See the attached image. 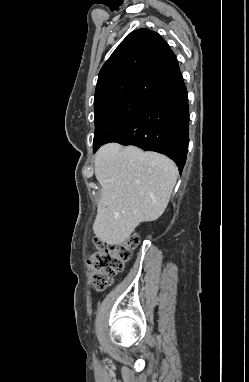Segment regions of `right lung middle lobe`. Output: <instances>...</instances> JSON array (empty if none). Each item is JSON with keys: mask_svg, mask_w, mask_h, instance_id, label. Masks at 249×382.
Masks as SVG:
<instances>
[{"mask_svg": "<svg viewBox=\"0 0 249 382\" xmlns=\"http://www.w3.org/2000/svg\"><path fill=\"white\" fill-rule=\"evenodd\" d=\"M150 100L126 97L95 109L94 150L125 128Z\"/></svg>", "mask_w": 249, "mask_h": 382, "instance_id": "right-lung-middle-lobe-1", "label": "right lung middle lobe"}]
</instances>
